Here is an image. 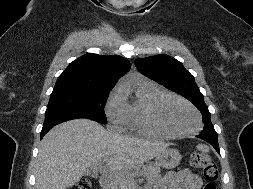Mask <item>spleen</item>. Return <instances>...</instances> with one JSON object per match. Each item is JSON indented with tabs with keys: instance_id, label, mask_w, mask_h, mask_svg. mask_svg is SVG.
I'll list each match as a JSON object with an SVG mask.
<instances>
[{
	"instance_id": "1",
	"label": "spleen",
	"mask_w": 253,
	"mask_h": 189,
	"mask_svg": "<svg viewBox=\"0 0 253 189\" xmlns=\"http://www.w3.org/2000/svg\"><path fill=\"white\" fill-rule=\"evenodd\" d=\"M197 149L200 150L201 152H209V147L205 144H198Z\"/></svg>"
}]
</instances>
